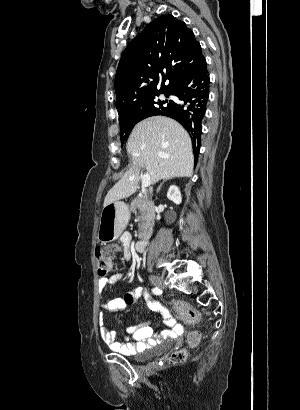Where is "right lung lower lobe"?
I'll return each mask as SVG.
<instances>
[{
  "instance_id": "98d812e1",
  "label": "right lung lower lobe",
  "mask_w": 300,
  "mask_h": 410,
  "mask_svg": "<svg viewBox=\"0 0 300 410\" xmlns=\"http://www.w3.org/2000/svg\"><path fill=\"white\" fill-rule=\"evenodd\" d=\"M209 85L207 64L203 57L175 82L171 95L177 96L182 102L171 101L156 114L177 120L188 131L192 139L195 162L199 154Z\"/></svg>"
}]
</instances>
